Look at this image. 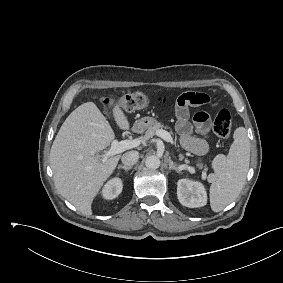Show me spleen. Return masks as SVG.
Here are the masks:
<instances>
[{"label": "spleen", "mask_w": 283, "mask_h": 283, "mask_svg": "<svg viewBox=\"0 0 283 283\" xmlns=\"http://www.w3.org/2000/svg\"><path fill=\"white\" fill-rule=\"evenodd\" d=\"M234 142L227 156L217 155L213 160L215 174L210 187V205L214 212L223 210L240 194L250 162V141L244 127L233 134Z\"/></svg>", "instance_id": "obj_1"}]
</instances>
